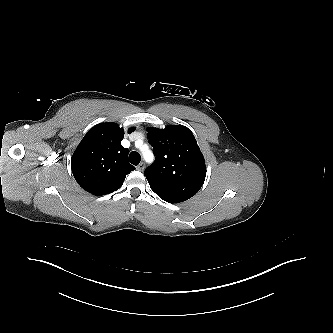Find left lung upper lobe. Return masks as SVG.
Segmentation results:
<instances>
[{
  "label": "left lung upper lobe",
  "mask_w": 333,
  "mask_h": 333,
  "mask_svg": "<svg viewBox=\"0 0 333 333\" xmlns=\"http://www.w3.org/2000/svg\"><path fill=\"white\" fill-rule=\"evenodd\" d=\"M147 131L156 158L144 175L153 192L169 203L193 197L205 181L206 167L191 130L168 125L165 129L149 127Z\"/></svg>",
  "instance_id": "5c2ea615"
}]
</instances>
